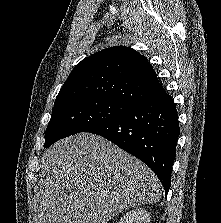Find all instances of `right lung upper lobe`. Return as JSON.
<instances>
[{"mask_svg":"<svg viewBox=\"0 0 221 223\" xmlns=\"http://www.w3.org/2000/svg\"><path fill=\"white\" fill-rule=\"evenodd\" d=\"M164 93L155 71L144 56L131 48L115 46L78 63L55 103L95 96L136 105Z\"/></svg>","mask_w":221,"mask_h":223,"instance_id":"1","label":"right lung upper lobe"}]
</instances>
